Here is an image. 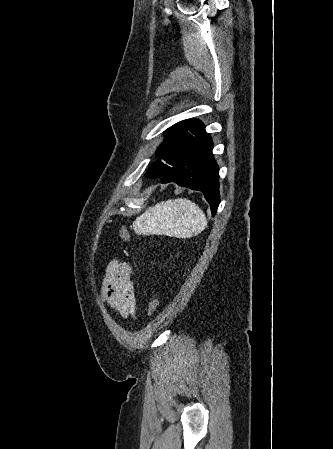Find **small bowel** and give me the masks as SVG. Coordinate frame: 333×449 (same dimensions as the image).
I'll list each match as a JSON object with an SVG mask.
<instances>
[{
  "label": "small bowel",
  "mask_w": 333,
  "mask_h": 449,
  "mask_svg": "<svg viewBox=\"0 0 333 449\" xmlns=\"http://www.w3.org/2000/svg\"><path fill=\"white\" fill-rule=\"evenodd\" d=\"M103 297L121 317H134L136 286L130 265L117 260H113L107 265L104 275Z\"/></svg>",
  "instance_id": "small-bowel-1"
}]
</instances>
